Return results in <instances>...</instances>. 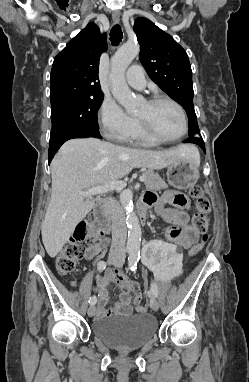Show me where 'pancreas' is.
<instances>
[{
  "mask_svg": "<svg viewBox=\"0 0 249 382\" xmlns=\"http://www.w3.org/2000/svg\"><path fill=\"white\" fill-rule=\"evenodd\" d=\"M142 176L146 177V180L144 181L146 187L151 190H162L166 189L168 185L165 183V181L154 171L152 170H146L142 173Z\"/></svg>",
  "mask_w": 249,
  "mask_h": 382,
  "instance_id": "cf45deb5",
  "label": "pancreas"
}]
</instances>
